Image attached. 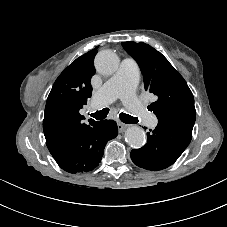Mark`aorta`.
Wrapping results in <instances>:
<instances>
[{
	"label": "aorta",
	"mask_w": 227,
	"mask_h": 227,
	"mask_svg": "<svg viewBox=\"0 0 227 227\" xmlns=\"http://www.w3.org/2000/svg\"><path fill=\"white\" fill-rule=\"evenodd\" d=\"M119 58L113 51H100L95 58L96 70L103 75H111L116 72ZM126 142L132 148H141L146 142V134L141 127L131 126L125 131Z\"/></svg>",
	"instance_id": "1"
}]
</instances>
